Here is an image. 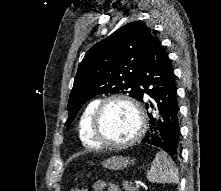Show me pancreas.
I'll use <instances>...</instances> for the list:
<instances>
[{
	"label": "pancreas",
	"instance_id": "cf45deb5",
	"mask_svg": "<svg viewBox=\"0 0 221 191\" xmlns=\"http://www.w3.org/2000/svg\"><path fill=\"white\" fill-rule=\"evenodd\" d=\"M123 188L125 191H139L138 188L132 186V184H129L128 182H123Z\"/></svg>",
	"mask_w": 221,
	"mask_h": 191
}]
</instances>
